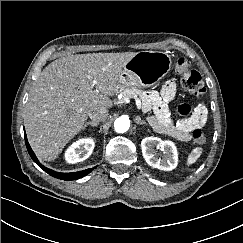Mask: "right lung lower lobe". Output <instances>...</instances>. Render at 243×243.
<instances>
[{
    "instance_id": "obj_1",
    "label": "right lung lower lobe",
    "mask_w": 243,
    "mask_h": 243,
    "mask_svg": "<svg viewBox=\"0 0 243 243\" xmlns=\"http://www.w3.org/2000/svg\"><path fill=\"white\" fill-rule=\"evenodd\" d=\"M25 140H26L25 143H26L27 150H28L31 158L33 159V161L36 164H38L45 172H47L49 175H51L55 178L62 179V180H75V179H78V178H81V177L87 175L88 173H90L94 169V168L86 169V170L74 172V173H59V172H55L53 170H50V169L44 167L43 165H41V163H39L38 159L36 158L34 152L31 149L29 143L27 142L26 134H25Z\"/></svg>"
}]
</instances>
